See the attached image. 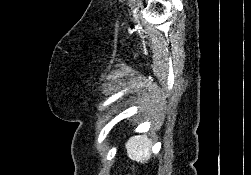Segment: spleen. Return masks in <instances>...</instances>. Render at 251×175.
Segmentation results:
<instances>
[{
    "instance_id": "spleen-1",
    "label": "spleen",
    "mask_w": 251,
    "mask_h": 175,
    "mask_svg": "<svg viewBox=\"0 0 251 175\" xmlns=\"http://www.w3.org/2000/svg\"><path fill=\"white\" fill-rule=\"evenodd\" d=\"M126 149L131 159L145 163L151 157L152 141L147 135H134L128 139Z\"/></svg>"
}]
</instances>
